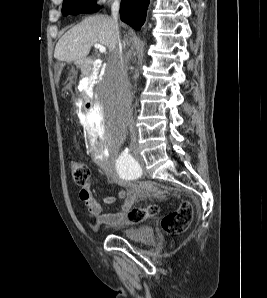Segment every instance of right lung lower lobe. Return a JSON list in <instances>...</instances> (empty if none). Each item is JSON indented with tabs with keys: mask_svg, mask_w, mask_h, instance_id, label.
Returning <instances> with one entry per match:
<instances>
[{
	"mask_svg": "<svg viewBox=\"0 0 267 298\" xmlns=\"http://www.w3.org/2000/svg\"><path fill=\"white\" fill-rule=\"evenodd\" d=\"M149 0H122L120 6L121 20L136 30H140L146 18Z\"/></svg>",
	"mask_w": 267,
	"mask_h": 298,
	"instance_id": "98d812e1",
	"label": "right lung lower lobe"
}]
</instances>
